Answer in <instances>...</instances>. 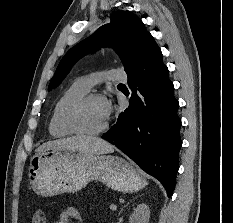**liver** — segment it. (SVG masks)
<instances>
[{"instance_id":"obj_1","label":"liver","mask_w":233,"mask_h":223,"mask_svg":"<svg viewBox=\"0 0 233 223\" xmlns=\"http://www.w3.org/2000/svg\"><path fill=\"white\" fill-rule=\"evenodd\" d=\"M48 147V145H59V147H66L72 151H80V153H112L115 145H111L101 137L95 135H72V137H62V139H54V141H47L41 147Z\"/></svg>"}]
</instances>
